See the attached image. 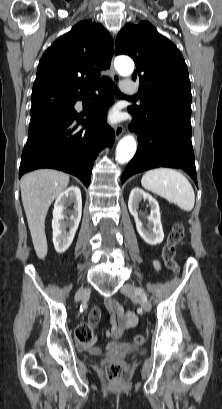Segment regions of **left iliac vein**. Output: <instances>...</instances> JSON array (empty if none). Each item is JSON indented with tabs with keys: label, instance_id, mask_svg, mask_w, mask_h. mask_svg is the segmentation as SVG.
Returning <instances> with one entry per match:
<instances>
[{
	"label": "left iliac vein",
	"instance_id": "left-iliac-vein-1",
	"mask_svg": "<svg viewBox=\"0 0 222 409\" xmlns=\"http://www.w3.org/2000/svg\"><path fill=\"white\" fill-rule=\"evenodd\" d=\"M121 293L128 296L129 298H131L133 300H138L141 307L146 312H149L151 310V303L148 300L147 295L145 294V292L142 289L136 288L134 285H131V284L127 283V284H124L121 287Z\"/></svg>",
	"mask_w": 222,
	"mask_h": 409
}]
</instances>
